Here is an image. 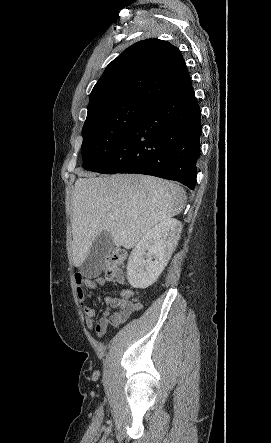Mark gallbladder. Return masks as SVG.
Listing matches in <instances>:
<instances>
[{"label": "gallbladder", "mask_w": 271, "mask_h": 443, "mask_svg": "<svg viewBox=\"0 0 271 443\" xmlns=\"http://www.w3.org/2000/svg\"><path fill=\"white\" fill-rule=\"evenodd\" d=\"M111 247H114L112 235L109 231H102L93 241L90 251H87V259L80 260V273H84L86 278H93L95 273H103L104 269H108Z\"/></svg>", "instance_id": "bac80fb5"}]
</instances>
